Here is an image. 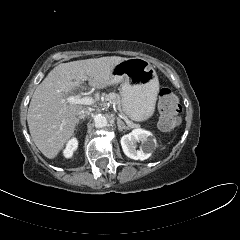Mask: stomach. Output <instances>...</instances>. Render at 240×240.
Returning a JSON list of instances; mask_svg holds the SVG:
<instances>
[{
  "mask_svg": "<svg viewBox=\"0 0 240 240\" xmlns=\"http://www.w3.org/2000/svg\"><path fill=\"white\" fill-rule=\"evenodd\" d=\"M121 83L122 111L134 121L149 119L155 110L159 80L150 62L128 58L113 70L111 84Z\"/></svg>",
  "mask_w": 240,
  "mask_h": 240,
  "instance_id": "obj_1",
  "label": "stomach"
}]
</instances>
